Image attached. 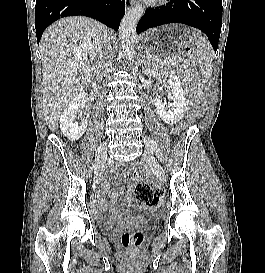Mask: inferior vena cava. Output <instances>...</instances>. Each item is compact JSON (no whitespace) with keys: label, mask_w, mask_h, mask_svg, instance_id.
Masks as SVG:
<instances>
[{"label":"inferior vena cava","mask_w":265,"mask_h":273,"mask_svg":"<svg viewBox=\"0 0 265 273\" xmlns=\"http://www.w3.org/2000/svg\"><path fill=\"white\" fill-rule=\"evenodd\" d=\"M105 52H104V59H109L110 58V56H109V52H110V47H109V45H108V47L106 46L105 47ZM107 49L109 50V52L107 51Z\"/></svg>","instance_id":"1"}]
</instances>
